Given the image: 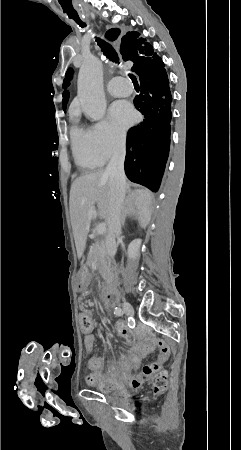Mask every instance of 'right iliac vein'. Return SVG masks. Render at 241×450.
<instances>
[{
	"label": "right iliac vein",
	"instance_id": "obj_1",
	"mask_svg": "<svg viewBox=\"0 0 241 450\" xmlns=\"http://www.w3.org/2000/svg\"><path fill=\"white\" fill-rule=\"evenodd\" d=\"M123 310L129 316H132L134 313L133 307L128 302H123Z\"/></svg>",
	"mask_w": 241,
	"mask_h": 450
}]
</instances>
